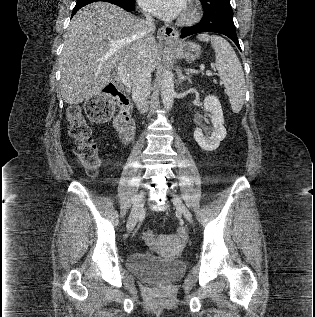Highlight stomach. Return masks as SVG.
<instances>
[{"label": "stomach", "instance_id": "1", "mask_svg": "<svg viewBox=\"0 0 315 317\" xmlns=\"http://www.w3.org/2000/svg\"><path fill=\"white\" fill-rule=\"evenodd\" d=\"M166 45L173 51L178 59H185L188 62L196 60L201 54V47L192 41H172Z\"/></svg>", "mask_w": 315, "mask_h": 317}]
</instances>
